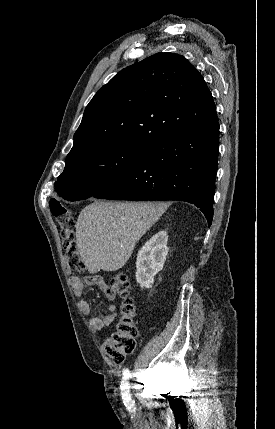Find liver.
I'll list each match as a JSON object with an SVG mask.
<instances>
[{
  "label": "liver",
  "instance_id": "1",
  "mask_svg": "<svg viewBox=\"0 0 275 429\" xmlns=\"http://www.w3.org/2000/svg\"><path fill=\"white\" fill-rule=\"evenodd\" d=\"M165 209L159 202L96 201L86 206L76 223V244L89 273L121 269Z\"/></svg>",
  "mask_w": 275,
  "mask_h": 429
}]
</instances>
